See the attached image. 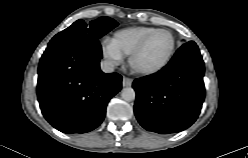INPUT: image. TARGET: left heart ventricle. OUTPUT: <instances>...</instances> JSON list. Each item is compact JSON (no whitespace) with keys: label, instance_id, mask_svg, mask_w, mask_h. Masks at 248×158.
<instances>
[{"label":"left heart ventricle","instance_id":"obj_1","mask_svg":"<svg viewBox=\"0 0 248 158\" xmlns=\"http://www.w3.org/2000/svg\"><path fill=\"white\" fill-rule=\"evenodd\" d=\"M171 47V38L164 32L154 34L135 60L138 68H150L161 63Z\"/></svg>","mask_w":248,"mask_h":158}]
</instances>
